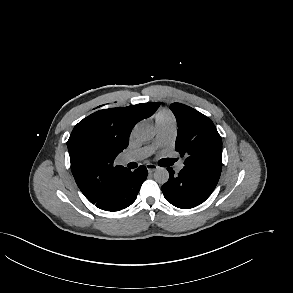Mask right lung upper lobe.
I'll list each match as a JSON object with an SVG mask.
<instances>
[{"instance_id": "obj_1", "label": "right lung upper lobe", "mask_w": 293, "mask_h": 293, "mask_svg": "<svg viewBox=\"0 0 293 293\" xmlns=\"http://www.w3.org/2000/svg\"><path fill=\"white\" fill-rule=\"evenodd\" d=\"M160 103L99 110L80 121L67 142L71 170L85 197L92 203L104 198L113 181L129 169L116 166L117 155L128 146L132 128L150 117Z\"/></svg>"}]
</instances>
